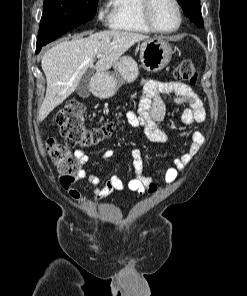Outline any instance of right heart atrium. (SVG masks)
I'll use <instances>...</instances> for the list:
<instances>
[{
    "label": "right heart atrium",
    "instance_id": "obj_1",
    "mask_svg": "<svg viewBox=\"0 0 247 296\" xmlns=\"http://www.w3.org/2000/svg\"><path fill=\"white\" fill-rule=\"evenodd\" d=\"M97 17L98 20L101 22H107L110 19L108 10L105 5H102L98 8Z\"/></svg>",
    "mask_w": 247,
    "mask_h": 296
}]
</instances>
